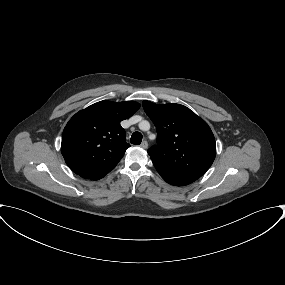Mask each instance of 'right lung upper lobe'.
<instances>
[{"label": "right lung upper lobe", "instance_id": "right-lung-upper-lobe-1", "mask_svg": "<svg viewBox=\"0 0 285 285\" xmlns=\"http://www.w3.org/2000/svg\"><path fill=\"white\" fill-rule=\"evenodd\" d=\"M140 104L100 101L76 113L62 135L61 152L70 169L82 178L98 180L108 174L130 147L120 122Z\"/></svg>", "mask_w": 285, "mask_h": 285}]
</instances>
